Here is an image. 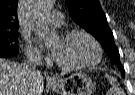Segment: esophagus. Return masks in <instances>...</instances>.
Returning <instances> with one entry per match:
<instances>
[{
	"label": "esophagus",
	"instance_id": "1",
	"mask_svg": "<svg viewBox=\"0 0 135 95\" xmlns=\"http://www.w3.org/2000/svg\"><path fill=\"white\" fill-rule=\"evenodd\" d=\"M49 80H50V81H54L55 78H54V77H50Z\"/></svg>",
	"mask_w": 135,
	"mask_h": 95
}]
</instances>
